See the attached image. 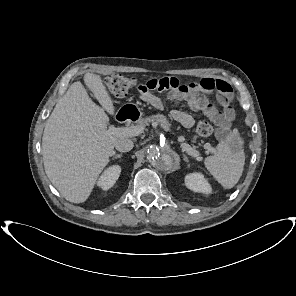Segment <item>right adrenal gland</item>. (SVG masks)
<instances>
[{
  "instance_id": "1",
  "label": "right adrenal gland",
  "mask_w": 296,
  "mask_h": 296,
  "mask_svg": "<svg viewBox=\"0 0 296 296\" xmlns=\"http://www.w3.org/2000/svg\"><path fill=\"white\" fill-rule=\"evenodd\" d=\"M122 154H114V156L112 157V160H115V159H120L122 158Z\"/></svg>"
}]
</instances>
